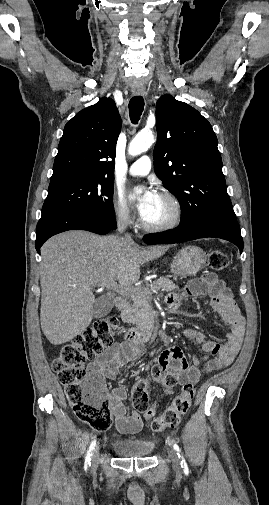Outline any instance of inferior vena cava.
Segmentation results:
<instances>
[{
	"mask_svg": "<svg viewBox=\"0 0 269 505\" xmlns=\"http://www.w3.org/2000/svg\"><path fill=\"white\" fill-rule=\"evenodd\" d=\"M117 229H118L119 233H123V232L125 231V229H126V224H125V222H124V220H123V219H120V220L118 221ZM123 239H124L125 241H127V242H133V240H132V238H131V235H130V234H128V233H125V234H124Z\"/></svg>",
	"mask_w": 269,
	"mask_h": 505,
	"instance_id": "obj_1",
	"label": "inferior vena cava"
}]
</instances>
